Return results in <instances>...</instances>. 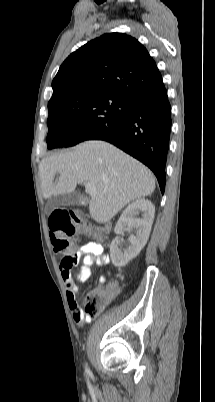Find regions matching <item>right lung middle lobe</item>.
<instances>
[{
	"label": "right lung middle lobe",
	"instance_id": "1",
	"mask_svg": "<svg viewBox=\"0 0 215 402\" xmlns=\"http://www.w3.org/2000/svg\"><path fill=\"white\" fill-rule=\"evenodd\" d=\"M129 102L109 94L49 101L48 148L74 146L114 125L127 112Z\"/></svg>",
	"mask_w": 215,
	"mask_h": 402
}]
</instances>
